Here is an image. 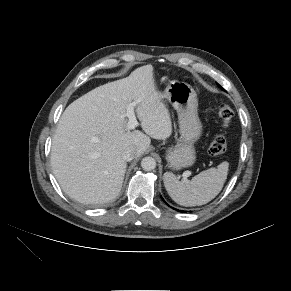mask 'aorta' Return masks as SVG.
Listing matches in <instances>:
<instances>
[{
    "label": "aorta",
    "instance_id": "aorta-1",
    "mask_svg": "<svg viewBox=\"0 0 291 291\" xmlns=\"http://www.w3.org/2000/svg\"><path fill=\"white\" fill-rule=\"evenodd\" d=\"M141 167L145 171H150L156 168V161L152 157H145L141 161Z\"/></svg>",
    "mask_w": 291,
    "mask_h": 291
}]
</instances>
